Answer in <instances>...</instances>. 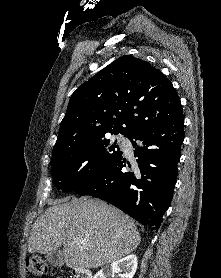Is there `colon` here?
I'll use <instances>...</instances> for the list:
<instances>
[{"label": "colon", "mask_w": 221, "mask_h": 278, "mask_svg": "<svg viewBox=\"0 0 221 278\" xmlns=\"http://www.w3.org/2000/svg\"><path fill=\"white\" fill-rule=\"evenodd\" d=\"M26 270L29 274L35 277H43L51 274V270L47 263L37 257H28L26 259ZM56 278H65L64 276H57Z\"/></svg>", "instance_id": "5ec220e1"}]
</instances>
